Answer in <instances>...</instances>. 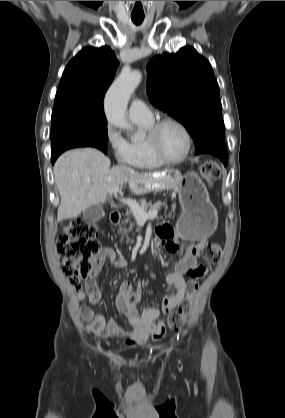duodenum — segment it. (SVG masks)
<instances>
[{
	"label": "duodenum",
	"mask_w": 285,
	"mask_h": 418,
	"mask_svg": "<svg viewBox=\"0 0 285 418\" xmlns=\"http://www.w3.org/2000/svg\"><path fill=\"white\" fill-rule=\"evenodd\" d=\"M112 223L118 224L121 221V212L119 210H113L110 214Z\"/></svg>",
	"instance_id": "obj_1"
}]
</instances>
